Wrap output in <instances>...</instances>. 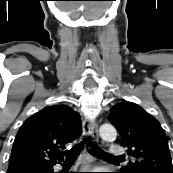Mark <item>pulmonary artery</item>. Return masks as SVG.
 Here are the masks:
<instances>
[{
  "label": "pulmonary artery",
  "mask_w": 173,
  "mask_h": 173,
  "mask_svg": "<svg viewBox=\"0 0 173 173\" xmlns=\"http://www.w3.org/2000/svg\"><path fill=\"white\" fill-rule=\"evenodd\" d=\"M109 153L113 156H122L124 155V149L120 146H110L109 147Z\"/></svg>",
  "instance_id": "1"
}]
</instances>
